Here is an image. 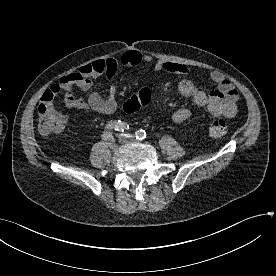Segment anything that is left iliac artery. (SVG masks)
Instances as JSON below:
<instances>
[{"mask_svg": "<svg viewBox=\"0 0 276 276\" xmlns=\"http://www.w3.org/2000/svg\"><path fill=\"white\" fill-rule=\"evenodd\" d=\"M135 136L138 140H144L146 138V132L142 129L137 130Z\"/></svg>", "mask_w": 276, "mask_h": 276, "instance_id": "1", "label": "left iliac artery"}]
</instances>
